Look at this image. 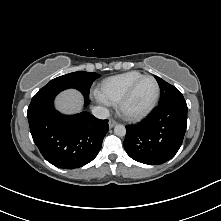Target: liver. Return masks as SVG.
I'll return each mask as SVG.
<instances>
[{"label": "liver", "mask_w": 221, "mask_h": 221, "mask_svg": "<svg viewBox=\"0 0 221 221\" xmlns=\"http://www.w3.org/2000/svg\"><path fill=\"white\" fill-rule=\"evenodd\" d=\"M82 105L81 94L72 89L62 92L55 101L56 108L64 114L76 113L81 109Z\"/></svg>", "instance_id": "1"}]
</instances>
